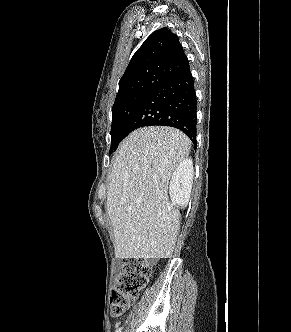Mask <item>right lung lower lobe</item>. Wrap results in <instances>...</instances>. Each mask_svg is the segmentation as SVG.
Returning <instances> with one entry per match:
<instances>
[{"mask_svg": "<svg viewBox=\"0 0 291 332\" xmlns=\"http://www.w3.org/2000/svg\"><path fill=\"white\" fill-rule=\"evenodd\" d=\"M196 109L194 80L187 67L151 91L127 122L125 134L144 126H170L182 130L196 145Z\"/></svg>", "mask_w": 291, "mask_h": 332, "instance_id": "obj_1", "label": "right lung lower lobe"}]
</instances>
